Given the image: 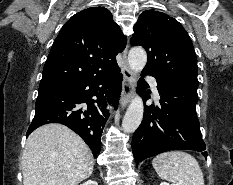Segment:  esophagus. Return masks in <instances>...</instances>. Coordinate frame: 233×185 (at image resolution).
<instances>
[{
  "mask_svg": "<svg viewBox=\"0 0 233 185\" xmlns=\"http://www.w3.org/2000/svg\"><path fill=\"white\" fill-rule=\"evenodd\" d=\"M123 61L124 64L121 70L123 75V81H122V93H121L120 104L121 107L124 109L132 99L134 92V84H135L134 74L127 64V47L123 52Z\"/></svg>",
  "mask_w": 233,
  "mask_h": 185,
  "instance_id": "obj_1",
  "label": "esophagus"
}]
</instances>
